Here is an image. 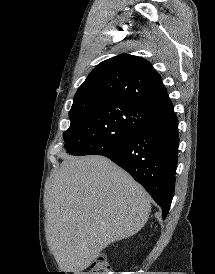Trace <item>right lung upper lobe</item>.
<instances>
[{"instance_id":"cb5924a9","label":"right lung upper lobe","mask_w":215,"mask_h":274,"mask_svg":"<svg viewBox=\"0 0 215 274\" xmlns=\"http://www.w3.org/2000/svg\"><path fill=\"white\" fill-rule=\"evenodd\" d=\"M118 100L153 114L173 108L160 75L137 56L122 54L101 62L77 90L74 104Z\"/></svg>"}]
</instances>
